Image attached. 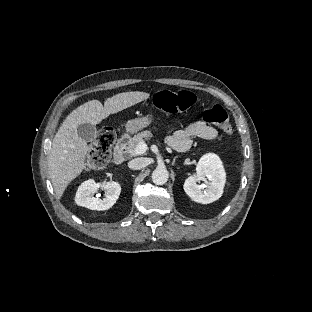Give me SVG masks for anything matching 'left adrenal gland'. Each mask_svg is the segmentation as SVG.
<instances>
[{
	"label": "left adrenal gland",
	"instance_id": "obj_1",
	"mask_svg": "<svg viewBox=\"0 0 312 312\" xmlns=\"http://www.w3.org/2000/svg\"><path fill=\"white\" fill-rule=\"evenodd\" d=\"M176 158H177V156H176V157H174V159H173V161H172V165H174V164H175Z\"/></svg>",
	"mask_w": 312,
	"mask_h": 312
}]
</instances>
